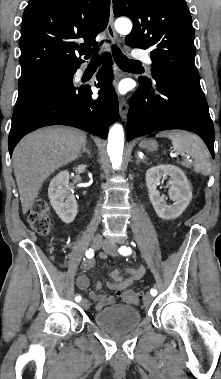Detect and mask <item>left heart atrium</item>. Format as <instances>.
Here are the masks:
<instances>
[{
	"label": "left heart atrium",
	"instance_id": "left-heart-atrium-1",
	"mask_svg": "<svg viewBox=\"0 0 221 379\" xmlns=\"http://www.w3.org/2000/svg\"><path fill=\"white\" fill-rule=\"evenodd\" d=\"M120 91H124V88H123V87H120Z\"/></svg>",
	"mask_w": 221,
	"mask_h": 379
}]
</instances>
